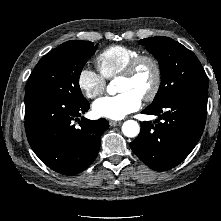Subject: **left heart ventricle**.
<instances>
[{"mask_svg":"<svg viewBox=\"0 0 221 221\" xmlns=\"http://www.w3.org/2000/svg\"><path fill=\"white\" fill-rule=\"evenodd\" d=\"M154 81V71L153 68L145 63L143 64L136 75L131 79L119 78L118 81V91H133L142 97L144 94L148 93L152 87Z\"/></svg>","mask_w":221,"mask_h":221,"instance_id":"b2bd125f","label":"left heart ventricle"}]
</instances>
